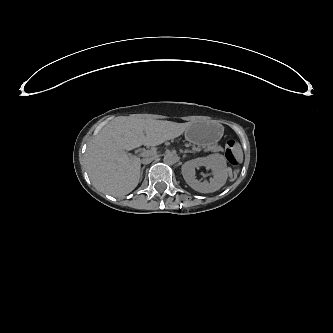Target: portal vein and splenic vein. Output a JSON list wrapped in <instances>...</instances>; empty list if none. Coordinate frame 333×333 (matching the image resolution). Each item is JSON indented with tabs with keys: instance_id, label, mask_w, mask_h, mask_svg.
Returning <instances> with one entry per match:
<instances>
[{
	"instance_id": "18ae733b",
	"label": "portal vein and splenic vein",
	"mask_w": 333,
	"mask_h": 333,
	"mask_svg": "<svg viewBox=\"0 0 333 333\" xmlns=\"http://www.w3.org/2000/svg\"><path fill=\"white\" fill-rule=\"evenodd\" d=\"M153 152L151 150H145L143 152H141V156L142 157H149Z\"/></svg>"
}]
</instances>
